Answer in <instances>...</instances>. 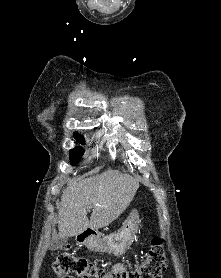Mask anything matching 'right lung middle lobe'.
Segmentation results:
<instances>
[{
    "label": "right lung middle lobe",
    "instance_id": "dd1d6c3e",
    "mask_svg": "<svg viewBox=\"0 0 221 278\" xmlns=\"http://www.w3.org/2000/svg\"><path fill=\"white\" fill-rule=\"evenodd\" d=\"M75 139L77 140V142L84 144L85 140L83 138L82 135L79 134H75ZM83 154V149L80 147H76L73 150H71L70 152V162L71 164H75L76 162H78L80 160V156Z\"/></svg>",
    "mask_w": 221,
    "mask_h": 278
}]
</instances>
